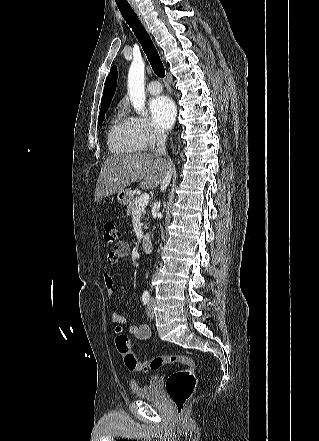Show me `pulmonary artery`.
I'll use <instances>...</instances> for the list:
<instances>
[{
    "mask_svg": "<svg viewBox=\"0 0 319 441\" xmlns=\"http://www.w3.org/2000/svg\"><path fill=\"white\" fill-rule=\"evenodd\" d=\"M147 90L150 94L156 95L161 92L162 88L158 81L153 80L148 84Z\"/></svg>",
    "mask_w": 319,
    "mask_h": 441,
    "instance_id": "1",
    "label": "pulmonary artery"
}]
</instances>
